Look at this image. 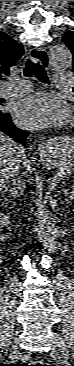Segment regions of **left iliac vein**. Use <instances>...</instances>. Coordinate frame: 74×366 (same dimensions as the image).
<instances>
[{"instance_id": "obj_1", "label": "left iliac vein", "mask_w": 74, "mask_h": 366, "mask_svg": "<svg viewBox=\"0 0 74 366\" xmlns=\"http://www.w3.org/2000/svg\"><path fill=\"white\" fill-rule=\"evenodd\" d=\"M53 342H54V347L57 351H59L62 355V357L64 359H68L67 357V353H68V350H67V346L66 344L60 339L59 335L58 334H55L54 335V338H53Z\"/></svg>"}]
</instances>
